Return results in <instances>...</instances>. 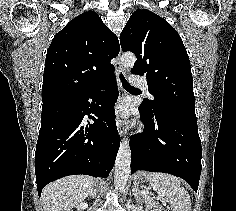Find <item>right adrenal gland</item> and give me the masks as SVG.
<instances>
[{
    "instance_id": "2a0ac1e0",
    "label": "right adrenal gland",
    "mask_w": 236,
    "mask_h": 211,
    "mask_svg": "<svg viewBox=\"0 0 236 211\" xmlns=\"http://www.w3.org/2000/svg\"><path fill=\"white\" fill-rule=\"evenodd\" d=\"M95 189L94 191L89 195L90 198H95L97 196V192H98V184L95 183Z\"/></svg>"
}]
</instances>
